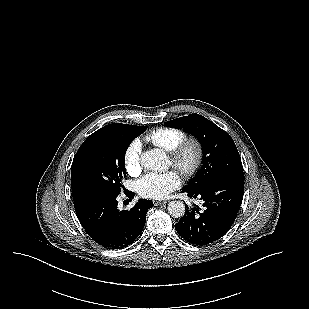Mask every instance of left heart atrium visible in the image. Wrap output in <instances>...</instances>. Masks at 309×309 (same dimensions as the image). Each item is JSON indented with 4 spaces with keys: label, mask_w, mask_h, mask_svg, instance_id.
Returning <instances> with one entry per match:
<instances>
[{
    "label": "left heart atrium",
    "mask_w": 309,
    "mask_h": 309,
    "mask_svg": "<svg viewBox=\"0 0 309 309\" xmlns=\"http://www.w3.org/2000/svg\"><path fill=\"white\" fill-rule=\"evenodd\" d=\"M180 185V176L175 171L150 172L138 181L137 191L145 198L163 199Z\"/></svg>",
    "instance_id": "39dd6f15"
}]
</instances>
